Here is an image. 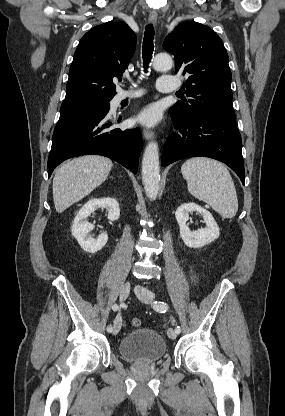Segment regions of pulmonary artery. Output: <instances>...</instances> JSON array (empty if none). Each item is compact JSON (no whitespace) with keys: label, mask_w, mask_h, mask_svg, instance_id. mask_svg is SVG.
Returning a JSON list of instances; mask_svg holds the SVG:
<instances>
[{"label":"pulmonary artery","mask_w":285,"mask_h":416,"mask_svg":"<svg viewBox=\"0 0 285 416\" xmlns=\"http://www.w3.org/2000/svg\"><path fill=\"white\" fill-rule=\"evenodd\" d=\"M172 81V83H167ZM158 89L161 92H170L171 94L175 93V90L178 89L181 85V82L179 79H175L174 76L169 75H162L158 78ZM135 96L128 95L124 93L123 91L117 93V95L112 100V107L116 108L119 106V104L125 100V99H132Z\"/></svg>","instance_id":"obj_1"}]
</instances>
